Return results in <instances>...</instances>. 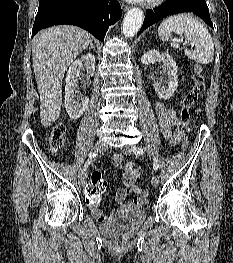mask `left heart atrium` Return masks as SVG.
Instances as JSON below:
<instances>
[{"instance_id":"39dd6f15","label":"left heart atrium","mask_w":233,"mask_h":263,"mask_svg":"<svg viewBox=\"0 0 233 263\" xmlns=\"http://www.w3.org/2000/svg\"><path fill=\"white\" fill-rule=\"evenodd\" d=\"M128 1L138 2V1H144V0H128Z\"/></svg>"}]
</instances>
